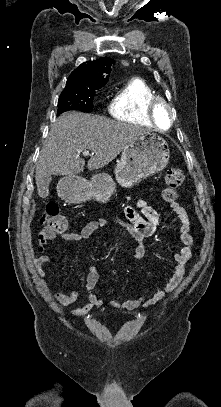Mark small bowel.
Returning a JSON list of instances; mask_svg holds the SVG:
<instances>
[{
	"mask_svg": "<svg viewBox=\"0 0 221 407\" xmlns=\"http://www.w3.org/2000/svg\"><path fill=\"white\" fill-rule=\"evenodd\" d=\"M170 208L179 221L177 229L180 241L179 249L173 253V261L175 265L172 275L165 280L160 289H155L152 286L148 287L137 298L121 302L112 296L108 301V304L112 308L125 309L128 311L146 309L164 299L185 280L186 267L187 263L193 256L195 240L190 233V221L184 206L177 202L170 204ZM124 215L125 219L113 217L111 219L100 218L89 221L79 232L64 233L60 236V239L65 242L84 241L97 230L110 228L113 222L126 230L136 241H138V245L134 249V256L137 259L143 258L145 255V248L141 242L145 238L151 237L156 233L159 224L158 214L145 200L138 199L132 203V197L128 196L127 204L124 208ZM38 241V249L42 252L43 245L46 241L42 240L40 237ZM53 262L54 257L47 254L41 255L35 260L34 266L40 279L43 280L45 277V267L53 264ZM84 280L88 292V300L82 307L71 313L73 317L87 315L94 308L102 306L105 301L103 297L94 293V289L99 280V272L96 267L91 266L86 270ZM58 284L61 287H65V283L63 282H59ZM52 298L57 305L65 307L74 304L78 300L79 292L75 289L66 293L52 292Z\"/></svg>",
	"mask_w": 221,
	"mask_h": 407,
	"instance_id": "c3829d8e",
	"label": "small bowel"
}]
</instances>
